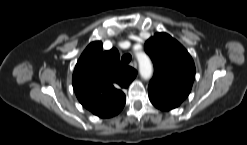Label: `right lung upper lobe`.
Masks as SVG:
<instances>
[{"label":"right lung upper lobe","instance_id":"cb5924a9","mask_svg":"<svg viewBox=\"0 0 247 145\" xmlns=\"http://www.w3.org/2000/svg\"><path fill=\"white\" fill-rule=\"evenodd\" d=\"M102 48V42L95 41L84 50L74 69L73 88L85 108L109 118L123 109V89L134 80L137 71L120 63L117 49L103 52Z\"/></svg>","mask_w":247,"mask_h":145}]
</instances>
